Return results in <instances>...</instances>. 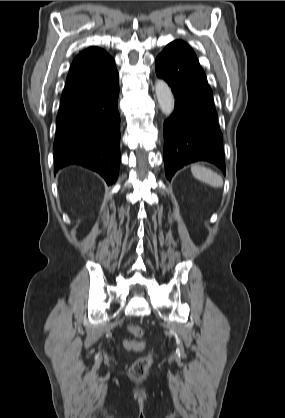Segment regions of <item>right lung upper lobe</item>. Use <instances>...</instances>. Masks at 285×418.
<instances>
[{"instance_id":"cb5924a9","label":"right lung upper lobe","mask_w":285,"mask_h":418,"mask_svg":"<svg viewBox=\"0 0 285 418\" xmlns=\"http://www.w3.org/2000/svg\"><path fill=\"white\" fill-rule=\"evenodd\" d=\"M114 59L99 47H89L73 60L61 99L68 98L104 79L115 70Z\"/></svg>"}]
</instances>
